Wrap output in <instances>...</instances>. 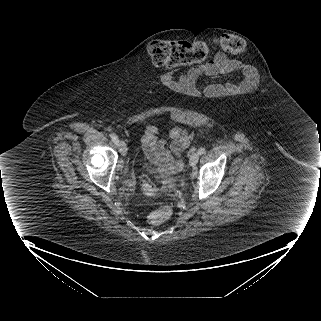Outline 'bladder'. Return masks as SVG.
I'll return each mask as SVG.
<instances>
[{
    "label": "bladder",
    "instance_id": "1",
    "mask_svg": "<svg viewBox=\"0 0 321 321\" xmlns=\"http://www.w3.org/2000/svg\"><path fill=\"white\" fill-rule=\"evenodd\" d=\"M143 167L147 169L149 172L153 173L154 175L161 174V171L159 168H157L154 160L148 156H146V160L143 162Z\"/></svg>",
    "mask_w": 321,
    "mask_h": 321
}]
</instances>
